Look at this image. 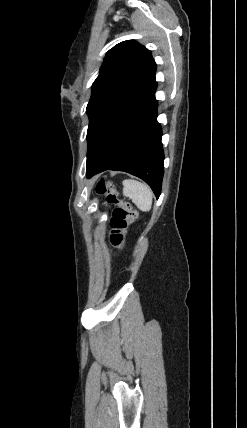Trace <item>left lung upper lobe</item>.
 <instances>
[{"label": "left lung upper lobe", "instance_id": "1", "mask_svg": "<svg viewBox=\"0 0 247 428\" xmlns=\"http://www.w3.org/2000/svg\"><path fill=\"white\" fill-rule=\"evenodd\" d=\"M155 71L151 52L134 40L123 41L107 52L86 109L88 153L109 118L155 82Z\"/></svg>", "mask_w": 247, "mask_h": 428}]
</instances>
